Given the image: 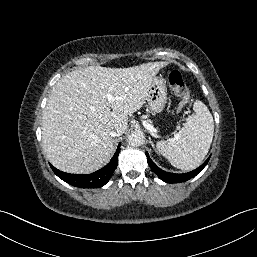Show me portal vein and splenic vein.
Segmentation results:
<instances>
[{"label": "portal vein and splenic vein", "instance_id": "1", "mask_svg": "<svg viewBox=\"0 0 257 257\" xmlns=\"http://www.w3.org/2000/svg\"><path fill=\"white\" fill-rule=\"evenodd\" d=\"M106 98H107V100H108L109 102H111V101L114 100V98H113V96H112L111 94H107V95H106ZM144 126L146 127L147 130H149V131H151V132L155 131L154 128H153L151 125L147 124V123L144 124Z\"/></svg>", "mask_w": 257, "mask_h": 257}]
</instances>
